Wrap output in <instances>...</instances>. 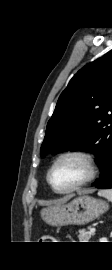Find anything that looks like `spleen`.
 <instances>
[{"mask_svg":"<svg viewBox=\"0 0 112 270\" xmlns=\"http://www.w3.org/2000/svg\"><path fill=\"white\" fill-rule=\"evenodd\" d=\"M98 195L105 197L106 199L112 202V189L100 190L98 191Z\"/></svg>","mask_w":112,"mask_h":270,"instance_id":"3e777b00","label":"spleen"}]
</instances>
